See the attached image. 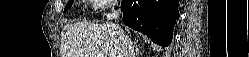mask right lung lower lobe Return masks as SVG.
I'll use <instances>...</instances> for the list:
<instances>
[{
  "label": "right lung lower lobe",
  "mask_w": 249,
  "mask_h": 57,
  "mask_svg": "<svg viewBox=\"0 0 249 57\" xmlns=\"http://www.w3.org/2000/svg\"><path fill=\"white\" fill-rule=\"evenodd\" d=\"M178 4L179 0H124V24L146 34L154 43L168 46L179 18Z\"/></svg>",
  "instance_id": "right-lung-lower-lobe-1"
}]
</instances>
